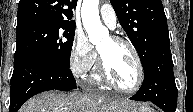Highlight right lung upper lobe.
Masks as SVG:
<instances>
[{
  "mask_svg": "<svg viewBox=\"0 0 193 112\" xmlns=\"http://www.w3.org/2000/svg\"><path fill=\"white\" fill-rule=\"evenodd\" d=\"M77 0H20L16 29L37 23L75 24L72 9Z\"/></svg>",
  "mask_w": 193,
  "mask_h": 112,
  "instance_id": "obj_1",
  "label": "right lung upper lobe"
}]
</instances>
